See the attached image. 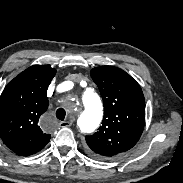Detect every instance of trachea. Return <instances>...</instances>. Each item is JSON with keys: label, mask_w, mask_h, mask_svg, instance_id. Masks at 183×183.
<instances>
[{"label": "trachea", "mask_w": 183, "mask_h": 183, "mask_svg": "<svg viewBox=\"0 0 183 183\" xmlns=\"http://www.w3.org/2000/svg\"><path fill=\"white\" fill-rule=\"evenodd\" d=\"M65 116H66V112H65V110L63 108L57 109V111H56V117L59 120L63 121L65 119Z\"/></svg>", "instance_id": "trachea-1"}]
</instances>
